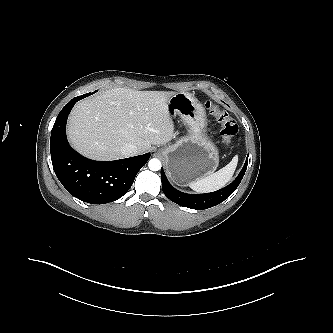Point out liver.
Masks as SVG:
<instances>
[{
	"mask_svg": "<svg viewBox=\"0 0 333 333\" xmlns=\"http://www.w3.org/2000/svg\"><path fill=\"white\" fill-rule=\"evenodd\" d=\"M173 91H137L114 88L78 102L68 120L67 135L73 147L98 160L120 159V149L135 144L139 154L174 136L168 109Z\"/></svg>",
	"mask_w": 333,
	"mask_h": 333,
	"instance_id": "liver-1",
	"label": "liver"
}]
</instances>
